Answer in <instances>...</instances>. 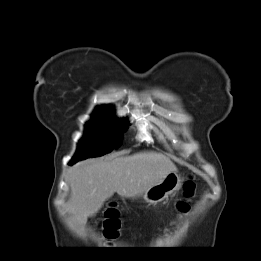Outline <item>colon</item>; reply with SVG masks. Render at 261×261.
<instances>
[{"mask_svg": "<svg viewBox=\"0 0 261 261\" xmlns=\"http://www.w3.org/2000/svg\"><path fill=\"white\" fill-rule=\"evenodd\" d=\"M194 183L191 180L185 182L183 189L186 198L190 197L194 191ZM178 209L180 211H186L188 209L187 200H181L178 202ZM101 227L103 234L108 239H114L118 236L120 228L119 212L115 207H109L103 214L101 221Z\"/></svg>", "mask_w": 261, "mask_h": 261, "instance_id": "colon-1", "label": "colon"}]
</instances>
